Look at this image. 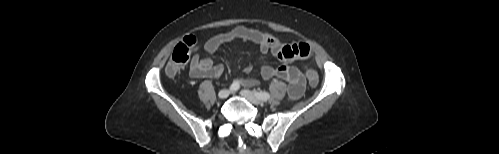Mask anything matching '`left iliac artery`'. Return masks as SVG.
Returning <instances> with one entry per match:
<instances>
[{"label":"left iliac artery","mask_w":499,"mask_h":154,"mask_svg":"<svg viewBox=\"0 0 499 154\" xmlns=\"http://www.w3.org/2000/svg\"><path fill=\"white\" fill-rule=\"evenodd\" d=\"M255 95L262 101H266L270 98V94L268 92H265V91H255Z\"/></svg>","instance_id":"1"}]
</instances>
